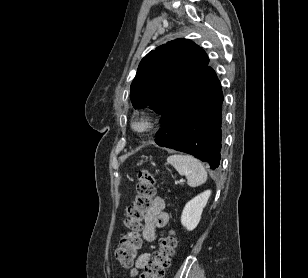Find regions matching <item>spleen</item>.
I'll list each match as a JSON object with an SVG mask.
<instances>
[{
  "label": "spleen",
  "instance_id": "3e777b00",
  "mask_svg": "<svg viewBox=\"0 0 308 278\" xmlns=\"http://www.w3.org/2000/svg\"><path fill=\"white\" fill-rule=\"evenodd\" d=\"M176 171L186 176L187 183L190 187H197L207 180V172L202 163L190 155L173 154L167 158Z\"/></svg>",
  "mask_w": 308,
  "mask_h": 278
}]
</instances>
